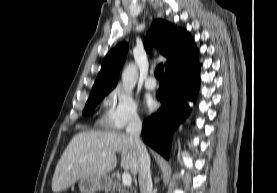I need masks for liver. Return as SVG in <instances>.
Masks as SVG:
<instances>
[{"label":"liver","mask_w":277,"mask_h":193,"mask_svg":"<svg viewBox=\"0 0 277 193\" xmlns=\"http://www.w3.org/2000/svg\"><path fill=\"white\" fill-rule=\"evenodd\" d=\"M116 153H120L121 167L135 176L140 168L139 154L129 135L111 131L76 134L56 166L52 191H64L83 177L106 175L116 166Z\"/></svg>","instance_id":"liver-1"}]
</instances>
